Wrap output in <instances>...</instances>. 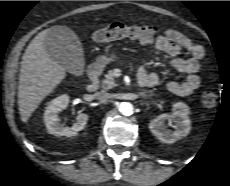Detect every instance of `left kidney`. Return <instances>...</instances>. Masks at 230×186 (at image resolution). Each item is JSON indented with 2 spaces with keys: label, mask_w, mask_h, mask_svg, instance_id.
<instances>
[{
  "label": "left kidney",
  "mask_w": 230,
  "mask_h": 186,
  "mask_svg": "<svg viewBox=\"0 0 230 186\" xmlns=\"http://www.w3.org/2000/svg\"><path fill=\"white\" fill-rule=\"evenodd\" d=\"M173 113L161 114L150 121V131L163 143H174L177 140L186 137L191 130V121L188 117L189 107L183 102H177L173 104ZM173 127L174 130H170L166 126ZM174 123V124H173Z\"/></svg>",
  "instance_id": "obj_1"
}]
</instances>
